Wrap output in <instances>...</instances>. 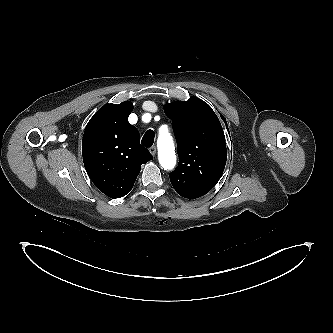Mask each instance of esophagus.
I'll list each match as a JSON object with an SVG mask.
<instances>
[{
  "mask_svg": "<svg viewBox=\"0 0 333 333\" xmlns=\"http://www.w3.org/2000/svg\"><path fill=\"white\" fill-rule=\"evenodd\" d=\"M149 152H150L153 156H155V155H156V147H155V146L150 147V148H149Z\"/></svg>",
  "mask_w": 333,
  "mask_h": 333,
  "instance_id": "1",
  "label": "esophagus"
}]
</instances>
